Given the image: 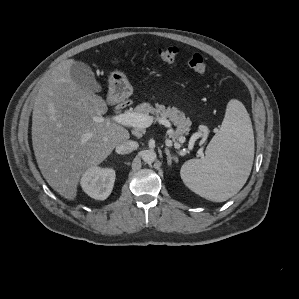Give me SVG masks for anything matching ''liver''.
Segmentation results:
<instances>
[{
	"mask_svg": "<svg viewBox=\"0 0 299 299\" xmlns=\"http://www.w3.org/2000/svg\"><path fill=\"white\" fill-rule=\"evenodd\" d=\"M74 62L68 59L59 63L46 77L32 115L38 167L52 189L68 200L76 198L84 172L130 137L129 131L115 122L97 121L107 112V104L72 81L70 67Z\"/></svg>",
	"mask_w": 299,
	"mask_h": 299,
	"instance_id": "obj_1",
	"label": "liver"
}]
</instances>
